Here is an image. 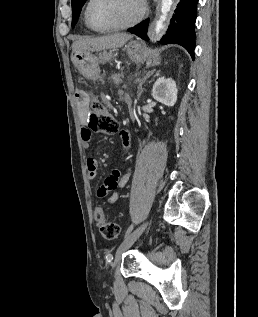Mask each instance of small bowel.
Here are the masks:
<instances>
[{
    "mask_svg": "<svg viewBox=\"0 0 258 317\" xmlns=\"http://www.w3.org/2000/svg\"><path fill=\"white\" fill-rule=\"evenodd\" d=\"M121 137L124 140L125 150L129 146V135L127 131H121ZM92 133L88 128H83L81 131L82 146L85 149L91 146ZM87 174L90 180H93L97 176V161L94 158H88L86 160ZM130 176V170H128L124 175H121L120 171L114 169L111 174L105 179L103 185L97 189L98 197L105 196L109 191H115L110 197L109 202L114 203L118 198L117 190L123 188Z\"/></svg>",
    "mask_w": 258,
    "mask_h": 317,
    "instance_id": "c3829d8e",
    "label": "small bowel"
}]
</instances>
